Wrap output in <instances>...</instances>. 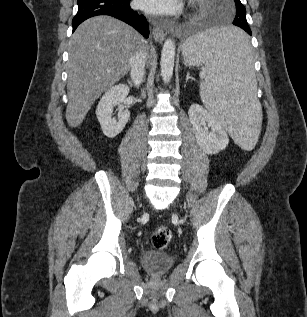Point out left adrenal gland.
Wrapping results in <instances>:
<instances>
[{"label": "left adrenal gland", "mask_w": 307, "mask_h": 317, "mask_svg": "<svg viewBox=\"0 0 307 317\" xmlns=\"http://www.w3.org/2000/svg\"><path fill=\"white\" fill-rule=\"evenodd\" d=\"M189 79H193V78L189 75V73H187V75H186V82H187Z\"/></svg>", "instance_id": "obj_1"}]
</instances>
